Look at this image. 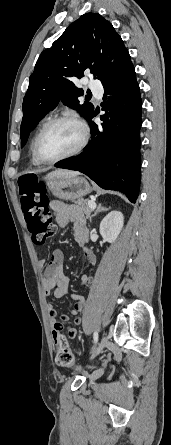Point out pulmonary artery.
Returning <instances> with one entry per match:
<instances>
[{"label": "pulmonary artery", "instance_id": "obj_1", "mask_svg": "<svg viewBox=\"0 0 171 445\" xmlns=\"http://www.w3.org/2000/svg\"><path fill=\"white\" fill-rule=\"evenodd\" d=\"M89 87L90 90L94 93H100L102 92V87H101V83L99 81L96 80H92L89 82Z\"/></svg>", "mask_w": 171, "mask_h": 445}]
</instances>
